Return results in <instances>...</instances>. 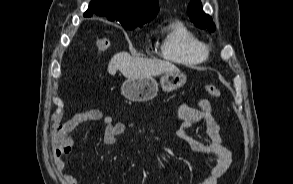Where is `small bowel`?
Masks as SVG:
<instances>
[{"label": "small bowel", "mask_w": 293, "mask_h": 184, "mask_svg": "<svg viewBox=\"0 0 293 184\" xmlns=\"http://www.w3.org/2000/svg\"><path fill=\"white\" fill-rule=\"evenodd\" d=\"M177 116L181 121V126L177 131L178 138L189 150L211 156L215 161L209 175L199 184H219L220 179L226 174L232 163V153L223 144L220 127L214 118L209 101L203 99L199 101L197 107L182 104L177 109ZM87 121L104 124L103 142L106 145L115 144L124 131L133 127L123 122H114L112 117L104 115L98 109H89L75 114L64 124L62 129L64 132L70 133ZM196 125L204 126L207 138L205 143L188 133V130ZM54 165L58 171H63L66 167L64 159L60 156H55ZM62 182L63 184H80L78 179L70 173L64 174Z\"/></svg>", "instance_id": "c3829d8e"}]
</instances>
